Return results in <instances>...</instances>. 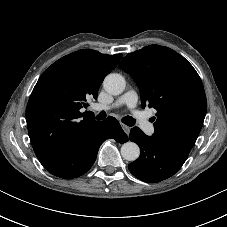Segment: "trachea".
<instances>
[{"mask_svg": "<svg viewBox=\"0 0 227 227\" xmlns=\"http://www.w3.org/2000/svg\"><path fill=\"white\" fill-rule=\"evenodd\" d=\"M106 118V113L105 111H101L98 115H97V119L98 120H103ZM122 122L128 126H133L135 124V119L132 118L131 116H125L122 118Z\"/></svg>", "mask_w": 227, "mask_h": 227, "instance_id": "trachea-1", "label": "trachea"}]
</instances>
